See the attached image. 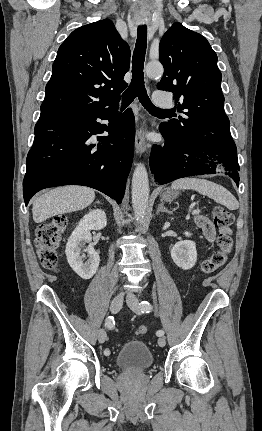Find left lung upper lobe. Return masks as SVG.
Wrapping results in <instances>:
<instances>
[{
  "mask_svg": "<svg viewBox=\"0 0 262 431\" xmlns=\"http://www.w3.org/2000/svg\"><path fill=\"white\" fill-rule=\"evenodd\" d=\"M159 53L164 75L157 86L173 92L177 110L186 115L162 123L164 131L174 141L220 149L232 137L216 53L205 37L180 23L164 34Z\"/></svg>",
  "mask_w": 262,
  "mask_h": 431,
  "instance_id": "5c2ea615",
  "label": "left lung upper lobe"
}]
</instances>
